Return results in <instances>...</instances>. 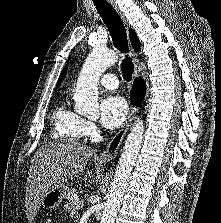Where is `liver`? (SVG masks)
I'll use <instances>...</instances> for the list:
<instances>
[{
	"label": "liver",
	"instance_id": "1",
	"mask_svg": "<svg viewBox=\"0 0 221 223\" xmlns=\"http://www.w3.org/2000/svg\"><path fill=\"white\" fill-rule=\"evenodd\" d=\"M94 150L72 140L50 142L35 153L27 178L26 209L28 222L37 214L41 200L55 186L83 174ZM87 170L85 179L91 176Z\"/></svg>",
	"mask_w": 221,
	"mask_h": 223
}]
</instances>
